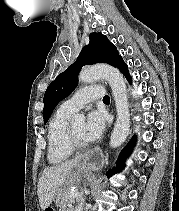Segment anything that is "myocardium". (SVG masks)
I'll use <instances>...</instances> for the list:
<instances>
[{"label":"myocardium","mask_w":179,"mask_h":211,"mask_svg":"<svg viewBox=\"0 0 179 211\" xmlns=\"http://www.w3.org/2000/svg\"><path fill=\"white\" fill-rule=\"evenodd\" d=\"M68 142L73 151H82L88 147V143L81 141L74 133L72 126L68 127Z\"/></svg>","instance_id":"1"}]
</instances>
